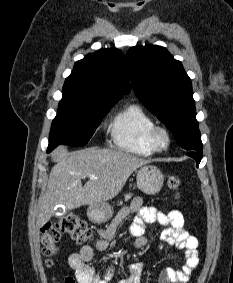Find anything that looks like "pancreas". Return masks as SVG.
<instances>
[{"mask_svg":"<svg viewBox=\"0 0 233 283\" xmlns=\"http://www.w3.org/2000/svg\"><path fill=\"white\" fill-rule=\"evenodd\" d=\"M132 194H126L125 198H130ZM121 203V202H120Z\"/></svg>","mask_w":233,"mask_h":283,"instance_id":"1","label":"pancreas"}]
</instances>
